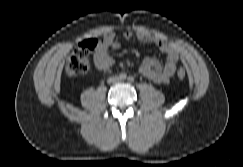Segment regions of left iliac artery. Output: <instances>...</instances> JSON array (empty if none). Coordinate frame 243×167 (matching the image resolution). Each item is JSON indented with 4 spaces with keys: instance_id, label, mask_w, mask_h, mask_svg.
<instances>
[{
    "instance_id": "left-iliac-artery-1",
    "label": "left iliac artery",
    "mask_w": 243,
    "mask_h": 167,
    "mask_svg": "<svg viewBox=\"0 0 243 167\" xmlns=\"http://www.w3.org/2000/svg\"><path fill=\"white\" fill-rule=\"evenodd\" d=\"M128 80H129V81H133L134 78H133L132 76H130V77L128 78Z\"/></svg>"
}]
</instances>
